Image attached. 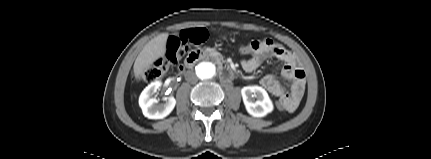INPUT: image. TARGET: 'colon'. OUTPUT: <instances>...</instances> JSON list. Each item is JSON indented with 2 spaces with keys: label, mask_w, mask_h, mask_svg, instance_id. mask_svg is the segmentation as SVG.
I'll list each match as a JSON object with an SVG mask.
<instances>
[{
  "label": "colon",
  "mask_w": 431,
  "mask_h": 159,
  "mask_svg": "<svg viewBox=\"0 0 431 159\" xmlns=\"http://www.w3.org/2000/svg\"><path fill=\"white\" fill-rule=\"evenodd\" d=\"M206 38L207 32L205 29L201 28L183 31L178 36H170L166 43V53L164 57L157 60L153 66L141 73L137 79L147 83L158 80L167 71L169 66L177 63L178 60L186 54L189 45L200 44L204 42ZM251 51V45H239L237 49V52H239L241 55L250 53ZM273 106L281 113L287 112L283 109L282 100H274Z\"/></svg>",
  "instance_id": "colon-1"
}]
</instances>
